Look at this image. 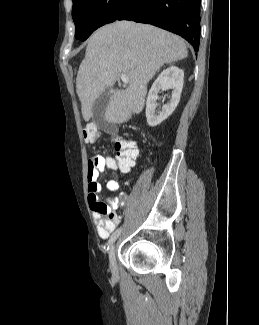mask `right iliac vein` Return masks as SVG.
<instances>
[{
	"label": "right iliac vein",
	"mask_w": 259,
	"mask_h": 325,
	"mask_svg": "<svg viewBox=\"0 0 259 325\" xmlns=\"http://www.w3.org/2000/svg\"><path fill=\"white\" fill-rule=\"evenodd\" d=\"M109 265L111 272L114 276L118 274L117 264H116V244H112L109 250Z\"/></svg>",
	"instance_id": "right-iliac-vein-1"
}]
</instances>
